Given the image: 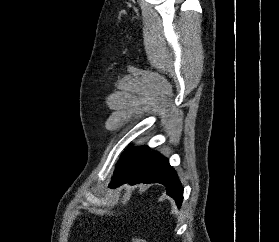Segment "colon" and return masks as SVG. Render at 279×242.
<instances>
[{"instance_id":"1","label":"colon","mask_w":279,"mask_h":242,"mask_svg":"<svg viewBox=\"0 0 279 242\" xmlns=\"http://www.w3.org/2000/svg\"><path fill=\"white\" fill-rule=\"evenodd\" d=\"M131 242H148V241H146V240H144V239H141V238H139V237H133L132 240H131Z\"/></svg>"}]
</instances>
